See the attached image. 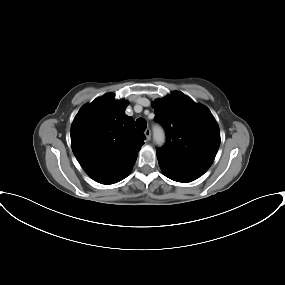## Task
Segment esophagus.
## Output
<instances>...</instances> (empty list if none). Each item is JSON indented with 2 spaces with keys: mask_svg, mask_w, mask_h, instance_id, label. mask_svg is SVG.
<instances>
[{
  "mask_svg": "<svg viewBox=\"0 0 285 285\" xmlns=\"http://www.w3.org/2000/svg\"><path fill=\"white\" fill-rule=\"evenodd\" d=\"M144 134L146 136L147 141H149L151 139V130L149 128L146 129Z\"/></svg>",
  "mask_w": 285,
  "mask_h": 285,
  "instance_id": "34e87169",
  "label": "esophagus"
}]
</instances>
